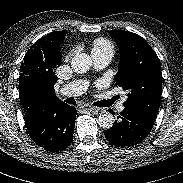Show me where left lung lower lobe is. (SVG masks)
<instances>
[{
  "label": "left lung lower lobe",
  "instance_id": "left-lung-lower-lobe-1",
  "mask_svg": "<svg viewBox=\"0 0 183 183\" xmlns=\"http://www.w3.org/2000/svg\"><path fill=\"white\" fill-rule=\"evenodd\" d=\"M117 119L114 125L105 131V137L111 144L122 148L135 146L143 141L155 121L133 108H125Z\"/></svg>",
  "mask_w": 183,
  "mask_h": 183
}]
</instances>
